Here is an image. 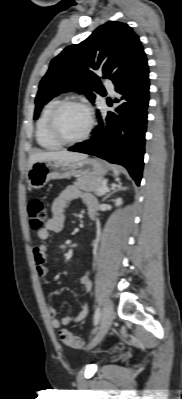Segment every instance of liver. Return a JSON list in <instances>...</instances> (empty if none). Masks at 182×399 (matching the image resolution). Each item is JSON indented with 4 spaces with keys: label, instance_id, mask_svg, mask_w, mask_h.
Returning a JSON list of instances; mask_svg holds the SVG:
<instances>
[{
    "label": "liver",
    "instance_id": "obj_1",
    "mask_svg": "<svg viewBox=\"0 0 182 399\" xmlns=\"http://www.w3.org/2000/svg\"><path fill=\"white\" fill-rule=\"evenodd\" d=\"M87 158V155L77 152L63 151H50V152H39L30 155L29 157V168L38 161L46 160H58L64 162H76Z\"/></svg>",
    "mask_w": 182,
    "mask_h": 399
}]
</instances>
